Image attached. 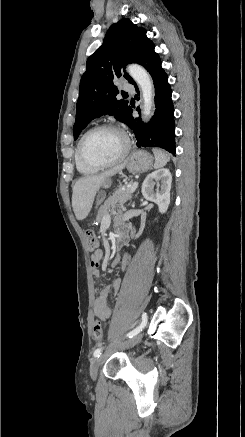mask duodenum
<instances>
[{
    "label": "duodenum",
    "instance_id": "duodenum-1",
    "mask_svg": "<svg viewBox=\"0 0 245 437\" xmlns=\"http://www.w3.org/2000/svg\"><path fill=\"white\" fill-rule=\"evenodd\" d=\"M126 236L125 233L123 232V230H119L117 232V239H116V243H117V247H121L125 242H126ZM118 263V256H116L112 262V266H116Z\"/></svg>",
    "mask_w": 245,
    "mask_h": 437
}]
</instances>
